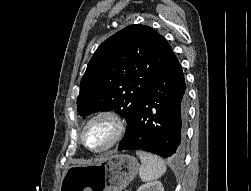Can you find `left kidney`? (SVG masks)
Here are the masks:
<instances>
[{
	"label": "left kidney",
	"instance_id": "5707ae66",
	"mask_svg": "<svg viewBox=\"0 0 251 191\" xmlns=\"http://www.w3.org/2000/svg\"><path fill=\"white\" fill-rule=\"evenodd\" d=\"M137 191H164L161 181H149L138 187Z\"/></svg>",
	"mask_w": 251,
	"mask_h": 191
}]
</instances>
